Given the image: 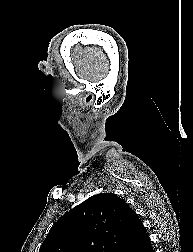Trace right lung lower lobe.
Here are the masks:
<instances>
[{"instance_id":"obj_1","label":"right lung lower lobe","mask_w":193,"mask_h":252,"mask_svg":"<svg viewBox=\"0 0 193 252\" xmlns=\"http://www.w3.org/2000/svg\"><path fill=\"white\" fill-rule=\"evenodd\" d=\"M129 252H154L150 239L146 231H144L136 244L129 250Z\"/></svg>"}]
</instances>
